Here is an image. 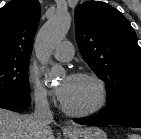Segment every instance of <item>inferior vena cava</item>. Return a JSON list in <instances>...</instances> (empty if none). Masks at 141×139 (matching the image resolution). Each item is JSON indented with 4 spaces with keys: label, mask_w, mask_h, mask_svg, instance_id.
Returning <instances> with one entry per match:
<instances>
[{
    "label": "inferior vena cava",
    "mask_w": 141,
    "mask_h": 139,
    "mask_svg": "<svg viewBox=\"0 0 141 139\" xmlns=\"http://www.w3.org/2000/svg\"><path fill=\"white\" fill-rule=\"evenodd\" d=\"M38 136L43 135L50 129L49 124L53 121V115L44 93L35 94V111L33 114ZM42 138V137H37Z\"/></svg>",
    "instance_id": "602c4592"
}]
</instances>
